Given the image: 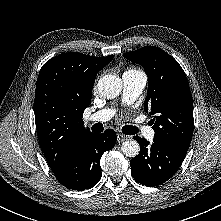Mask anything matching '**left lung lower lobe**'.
Listing matches in <instances>:
<instances>
[{
  "instance_id": "left-lung-lower-lobe-1",
  "label": "left lung lower lobe",
  "mask_w": 221,
  "mask_h": 221,
  "mask_svg": "<svg viewBox=\"0 0 221 221\" xmlns=\"http://www.w3.org/2000/svg\"><path fill=\"white\" fill-rule=\"evenodd\" d=\"M140 144V152L130 161L133 178L146 186H158L169 180L181 166L187 150L156 141L133 137Z\"/></svg>"
}]
</instances>
